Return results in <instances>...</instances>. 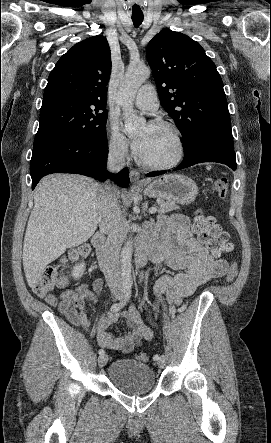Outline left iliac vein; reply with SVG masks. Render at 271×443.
<instances>
[{
  "mask_svg": "<svg viewBox=\"0 0 271 443\" xmlns=\"http://www.w3.org/2000/svg\"><path fill=\"white\" fill-rule=\"evenodd\" d=\"M165 364H166V359H165V356L162 355V356H160V358L158 360V366L160 368H164Z\"/></svg>",
  "mask_w": 271,
  "mask_h": 443,
  "instance_id": "4c4485c4",
  "label": "left iliac vein"
}]
</instances>
